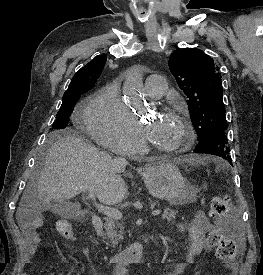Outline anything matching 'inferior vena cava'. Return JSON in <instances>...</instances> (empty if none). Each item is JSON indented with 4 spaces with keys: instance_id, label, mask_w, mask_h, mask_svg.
<instances>
[{
    "instance_id": "602c4592",
    "label": "inferior vena cava",
    "mask_w": 263,
    "mask_h": 275,
    "mask_svg": "<svg viewBox=\"0 0 263 275\" xmlns=\"http://www.w3.org/2000/svg\"><path fill=\"white\" fill-rule=\"evenodd\" d=\"M116 160L123 162V164H125V165L127 164V161L124 158L118 157V158H116Z\"/></svg>"
}]
</instances>
